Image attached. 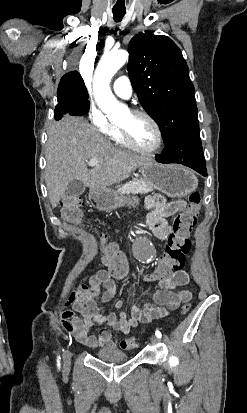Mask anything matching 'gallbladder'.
<instances>
[{"instance_id":"gallbladder-1","label":"gallbladder","mask_w":247,"mask_h":413,"mask_svg":"<svg viewBox=\"0 0 247 413\" xmlns=\"http://www.w3.org/2000/svg\"><path fill=\"white\" fill-rule=\"evenodd\" d=\"M84 190H85V184L84 182H82V180H70L67 186L68 196H73V198H76V196H79V194H82Z\"/></svg>"}]
</instances>
